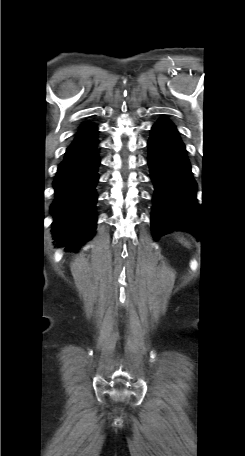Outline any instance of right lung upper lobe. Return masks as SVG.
<instances>
[{"label":"right lung upper lobe","instance_id":"obj_1","mask_svg":"<svg viewBox=\"0 0 245 456\" xmlns=\"http://www.w3.org/2000/svg\"><path fill=\"white\" fill-rule=\"evenodd\" d=\"M97 133V128L91 123L82 124L77 136L75 137L72 144L84 142L86 140L92 139Z\"/></svg>","mask_w":245,"mask_h":456}]
</instances>
